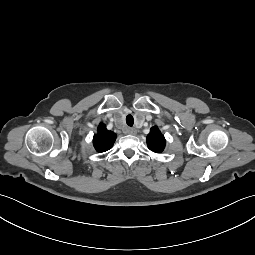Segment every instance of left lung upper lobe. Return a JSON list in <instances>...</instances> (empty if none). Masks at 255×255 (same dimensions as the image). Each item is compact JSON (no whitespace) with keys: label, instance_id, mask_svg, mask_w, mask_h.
I'll return each mask as SVG.
<instances>
[{"label":"left lung upper lobe","instance_id":"1","mask_svg":"<svg viewBox=\"0 0 255 255\" xmlns=\"http://www.w3.org/2000/svg\"><path fill=\"white\" fill-rule=\"evenodd\" d=\"M165 143V138L161 134L158 127H152L150 133L147 136L148 148L155 153H160L163 151Z\"/></svg>","mask_w":255,"mask_h":255}]
</instances>
